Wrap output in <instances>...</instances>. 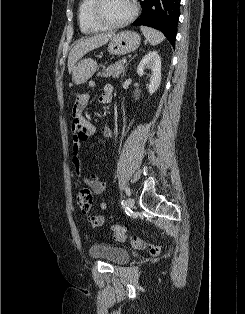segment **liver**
Wrapping results in <instances>:
<instances>
[{"label":"liver","mask_w":245,"mask_h":314,"mask_svg":"<svg viewBox=\"0 0 245 314\" xmlns=\"http://www.w3.org/2000/svg\"><path fill=\"white\" fill-rule=\"evenodd\" d=\"M113 35L114 33H105L78 40L68 56V72L74 71L77 61L86 53L106 44Z\"/></svg>","instance_id":"1"}]
</instances>
